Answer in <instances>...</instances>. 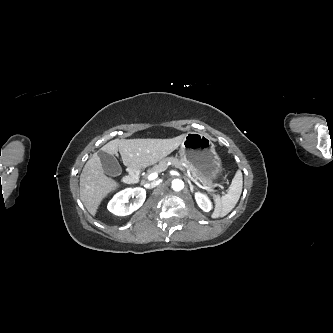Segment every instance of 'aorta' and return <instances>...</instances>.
I'll use <instances>...</instances> for the list:
<instances>
[{"label":"aorta","mask_w":333,"mask_h":333,"mask_svg":"<svg viewBox=\"0 0 333 333\" xmlns=\"http://www.w3.org/2000/svg\"><path fill=\"white\" fill-rule=\"evenodd\" d=\"M172 188L175 191H181L184 188V182L180 179H174L172 181Z\"/></svg>","instance_id":"aorta-1"}]
</instances>
